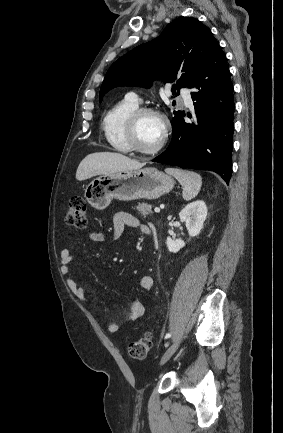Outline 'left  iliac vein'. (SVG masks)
<instances>
[{
    "instance_id": "1",
    "label": "left iliac vein",
    "mask_w": 283,
    "mask_h": 433,
    "mask_svg": "<svg viewBox=\"0 0 283 433\" xmlns=\"http://www.w3.org/2000/svg\"><path fill=\"white\" fill-rule=\"evenodd\" d=\"M179 347V342L176 341L172 343V345L165 351L164 355L161 358L160 364H165L169 358L176 352L177 348Z\"/></svg>"
}]
</instances>
